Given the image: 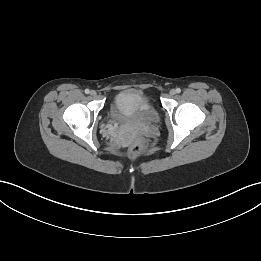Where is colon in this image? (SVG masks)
Returning <instances> with one entry per match:
<instances>
[{
	"label": "colon",
	"instance_id": "1",
	"mask_svg": "<svg viewBox=\"0 0 261 261\" xmlns=\"http://www.w3.org/2000/svg\"><path fill=\"white\" fill-rule=\"evenodd\" d=\"M156 100V95L155 94H150V95H144L143 96V101L144 102H149V101H155ZM150 148V143L147 140L144 139H139L131 148L130 153L132 155H140Z\"/></svg>",
	"mask_w": 261,
	"mask_h": 261
}]
</instances>
